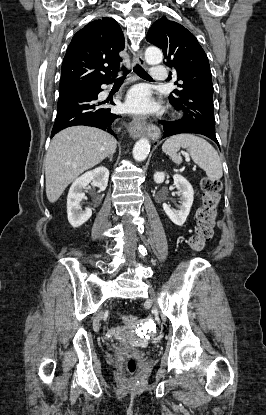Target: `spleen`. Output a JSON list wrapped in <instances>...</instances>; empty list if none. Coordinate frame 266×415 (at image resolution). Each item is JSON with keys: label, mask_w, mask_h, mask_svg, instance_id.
Segmentation results:
<instances>
[{"label": "spleen", "mask_w": 266, "mask_h": 415, "mask_svg": "<svg viewBox=\"0 0 266 415\" xmlns=\"http://www.w3.org/2000/svg\"><path fill=\"white\" fill-rule=\"evenodd\" d=\"M180 148L188 151L194 163L202 168L209 180L215 181L222 177V163L218 152L205 139L192 135L180 134L170 137L162 146L173 162L180 164L182 158L177 152Z\"/></svg>", "instance_id": "1"}]
</instances>
